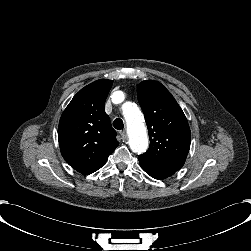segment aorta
I'll return each mask as SVG.
<instances>
[{
  "label": "aorta",
  "mask_w": 251,
  "mask_h": 251,
  "mask_svg": "<svg viewBox=\"0 0 251 251\" xmlns=\"http://www.w3.org/2000/svg\"><path fill=\"white\" fill-rule=\"evenodd\" d=\"M122 96V92H114L113 102L119 103L120 100H117V98L121 99ZM123 115L127 125L128 144L131 150L137 153L144 152L148 146V135L143 114L135 103H127L123 106Z\"/></svg>",
  "instance_id": "1"
}]
</instances>
